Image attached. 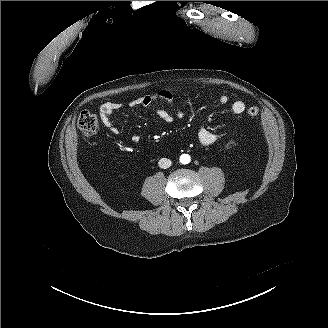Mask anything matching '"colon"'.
<instances>
[{
    "label": "colon",
    "mask_w": 328,
    "mask_h": 328,
    "mask_svg": "<svg viewBox=\"0 0 328 328\" xmlns=\"http://www.w3.org/2000/svg\"><path fill=\"white\" fill-rule=\"evenodd\" d=\"M250 117H256L259 114V109L256 106H251L247 110ZM78 128L83 136L90 137L94 135L98 129L97 117L87 111H83L78 117Z\"/></svg>",
    "instance_id": "obj_1"
}]
</instances>
